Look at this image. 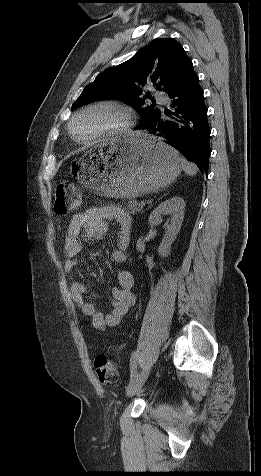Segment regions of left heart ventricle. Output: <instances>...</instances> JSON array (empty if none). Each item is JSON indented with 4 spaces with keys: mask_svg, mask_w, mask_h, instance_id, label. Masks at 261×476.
<instances>
[{
    "mask_svg": "<svg viewBox=\"0 0 261 476\" xmlns=\"http://www.w3.org/2000/svg\"><path fill=\"white\" fill-rule=\"evenodd\" d=\"M119 121L120 116L116 111L99 108L78 117L74 122L73 130L78 139L87 140L115 126Z\"/></svg>",
    "mask_w": 261,
    "mask_h": 476,
    "instance_id": "b2bd125f",
    "label": "left heart ventricle"
}]
</instances>
